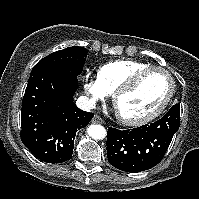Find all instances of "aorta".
Returning <instances> with one entry per match:
<instances>
[{"mask_svg": "<svg viewBox=\"0 0 199 199\" xmlns=\"http://www.w3.org/2000/svg\"><path fill=\"white\" fill-rule=\"evenodd\" d=\"M87 134L95 139V140H101L105 138L106 136V130L103 126L101 125H90L87 128Z\"/></svg>", "mask_w": 199, "mask_h": 199, "instance_id": "obj_1", "label": "aorta"}]
</instances>
